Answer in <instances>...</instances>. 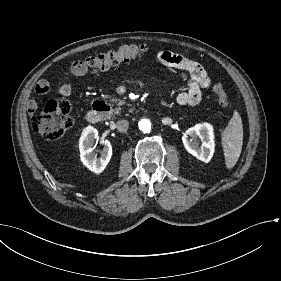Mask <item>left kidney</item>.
Listing matches in <instances>:
<instances>
[{"label":"left kidney","instance_id":"left-kidney-1","mask_svg":"<svg viewBox=\"0 0 281 281\" xmlns=\"http://www.w3.org/2000/svg\"><path fill=\"white\" fill-rule=\"evenodd\" d=\"M190 137V139H189ZM196 138H200L202 145L199 147ZM185 149L197 159L208 163L214 154L213 126L207 122L198 123L186 130L182 136Z\"/></svg>","mask_w":281,"mask_h":281}]
</instances>
